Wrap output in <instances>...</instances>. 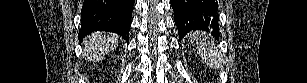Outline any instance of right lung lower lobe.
Returning a JSON list of instances; mask_svg holds the SVG:
<instances>
[{"label": "right lung lower lobe", "mask_w": 307, "mask_h": 83, "mask_svg": "<svg viewBox=\"0 0 307 83\" xmlns=\"http://www.w3.org/2000/svg\"><path fill=\"white\" fill-rule=\"evenodd\" d=\"M134 0H84L79 38L108 31L129 39Z\"/></svg>", "instance_id": "98d812e1"}]
</instances>
